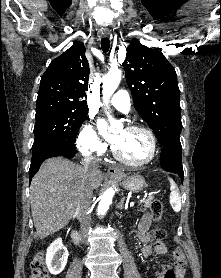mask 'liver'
Returning a JSON list of instances; mask_svg holds the SVG:
<instances>
[{"label":"liver","instance_id":"1","mask_svg":"<svg viewBox=\"0 0 221 278\" xmlns=\"http://www.w3.org/2000/svg\"><path fill=\"white\" fill-rule=\"evenodd\" d=\"M104 175L99 171L90 180L93 189L100 187ZM86 181L84 168L68 159H47L33 177L30 203L34 226L40 239L64 228L77 209Z\"/></svg>","mask_w":221,"mask_h":278}]
</instances>
